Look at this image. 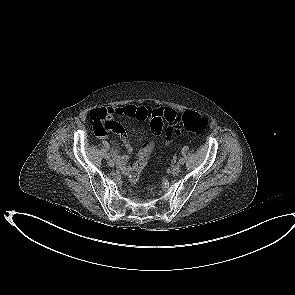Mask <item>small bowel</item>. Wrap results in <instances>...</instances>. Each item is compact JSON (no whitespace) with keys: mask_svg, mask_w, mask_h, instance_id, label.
Instances as JSON below:
<instances>
[{"mask_svg":"<svg viewBox=\"0 0 295 295\" xmlns=\"http://www.w3.org/2000/svg\"><path fill=\"white\" fill-rule=\"evenodd\" d=\"M168 113L177 114L170 108H150L148 106H137V105H125L116 108H100L93 109L90 111V118L95 123V131L98 135L103 136L104 132L108 129L114 135H121L125 143L126 153H120L118 149L112 147V155L115 158L120 169L126 173L129 171L127 162L129 160V153L132 151V147L128 142V138L124 132V126L119 124L113 117L109 115H116L119 117L134 118L138 120H150L151 130L155 135H160L164 122L167 123ZM168 125V123H167ZM178 133L177 129L170 130L168 127L165 131L164 145L169 146ZM140 152V151H139Z\"/></svg>","mask_w":295,"mask_h":295,"instance_id":"small-bowel-1","label":"small bowel"}]
</instances>
